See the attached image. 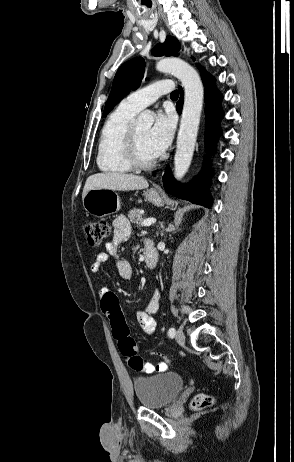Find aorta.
<instances>
[{
	"mask_svg": "<svg viewBox=\"0 0 294 462\" xmlns=\"http://www.w3.org/2000/svg\"><path fill=\"white\" fill-rule=\"evenodd\" d=\"M156 69L173 74L184 87V106L174 157V176L177 180H181L189 169L194 153L203 107V85L197 71L181 59H162L156 64ZM136 125L149 127L151 121L140 115Z\"/></svg>",
	"mask_w": 294,
	"mask_h": 462,
	"instance_id": "1",
	"label": "aorta"
}]
</instances>
